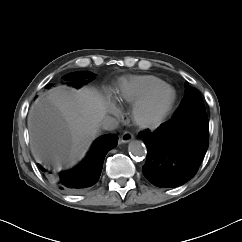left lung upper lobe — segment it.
I'll return each instance as SVG.
<instances>
[{"label":"left lung upper lobe","instance_id":"left-lung-upper-lobe-1","mask_svg":"<svg viewBox=\"0 0 242 242\" xmlns=\"http://www.w3.org/2000/svg\"><path fill=\"white\" fill-rule=\"evenodd\" d=\"M185 88V96L172 120L168 122L170 128L178 127L192 119L207 118L200 92L196 88L189 86L187 83L185 84Z\"/></svg>","mask_w":242,"mask_h":242}]
</instances>
